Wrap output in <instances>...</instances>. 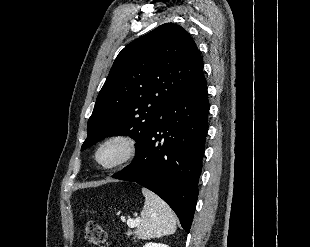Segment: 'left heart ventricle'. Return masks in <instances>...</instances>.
<instances>
[{"mask_svg": "<svg viewBox=\"0 0 310 247\" xmlns=\"http://www.w3.org/2000/svg\"><path fill=\"white\" fill-rule=\"evenodd\" d=\"M121 155L122 147L118 144H110L101 150L99 159L104 164H111L118 160Z\"/></svg>", "mask_w": 310, "mask_h": 247, "instance_id": "left-heart-ventricle-1", "label": "left heart ventricle"}]
</instances>
